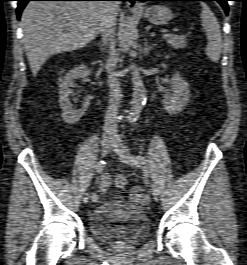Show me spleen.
Masks as SVG:
<instances>
[{
	"label": "spleen",
	"mask_w": 247,
	"mask_h": 265,
	"mask_svg": "<svg viewBox=\"0 0 247 265\" xmlns=\"http://www.w3.org/2000/svg\"><path fill=\"white\" fill-rule=\"evenodd\" d=\"M201 6V23L206 32V37L208 40L205 53L211 59V61L217 63L220 59L223 45L220 26L208 5L204 2H201Z\"/></svg>",
	"instance_id": "spleen-1"
}]
</instances>
